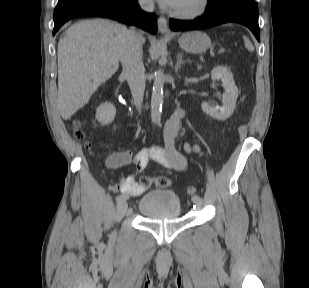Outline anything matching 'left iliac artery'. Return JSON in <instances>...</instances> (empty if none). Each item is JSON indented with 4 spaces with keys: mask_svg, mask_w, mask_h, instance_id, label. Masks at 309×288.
<instances>
[{
    "mask_svg": "<svg viewBox=\"0 0 309 288\" xmlns=\"http://www.w3.org/2000/svg\"><path fill=\"white\" fill-rule=\"evenodd\" d=\"M197 199H201L199 196H194L193 198H192V201H194V200H197Z\"/></svg>",
    "mask_w": 309,
    "mask_h": 288,
    "instance_id": "44dca946",
    "label": "left iliac artery"
}]
</instances>
